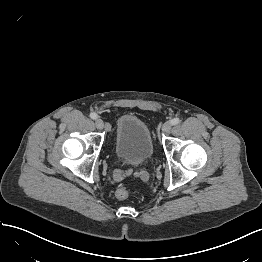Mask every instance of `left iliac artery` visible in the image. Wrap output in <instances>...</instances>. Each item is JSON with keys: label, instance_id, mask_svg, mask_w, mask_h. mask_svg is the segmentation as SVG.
<instances>
[{"label": "left iliac artery", "instance_id": "44dca946", "mask_svg": "<svg viewBox=\"0 0 262 262\" xmlns=\"http://www.w3.org/2000/svg\"><path fill=\"white\" fill-rule=\"evenodd\" d=\"M180 119L179 118H174V119H172L171 121H170V123L172 124V125H177L178 123H180Z\"/></svg>", "mask_w": 262, "mask_h": 262}]
</instances>
